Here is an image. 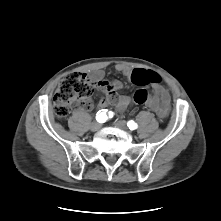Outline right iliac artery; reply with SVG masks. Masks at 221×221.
I'll use <instances>...</instances> for the list:
<instances>
[{"label": "right iliac artery", "instance_id": "1", "mask_svg": "<svg viewBox=\"0 0 221 221\" xmlns=\"http://www.w3.org/2000/svg\"><path fill=\"white\" fill-rule=\"evenodd\" d=\"M106 109L97 112L96 120L99 123H104L107 120Z\"/></svg>", "mask_w": 221, "mask_h": 221}]
</instances>
